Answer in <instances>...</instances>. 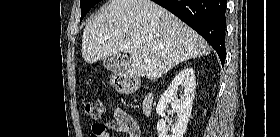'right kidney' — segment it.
I'll use <instances>...</instances> for the list:
<instances>
[{
  "instance_id": "obj_1",
  "label": "right kidney",
  "mask_w": 280,
  "mask_h": 137,
  "mask_svg": "<svg viewBox=\"0 0 280 137\" xmlns=\"http://www.w3.org/2000/svg\"><path fill=\"white\" fill-rule=\"evenodd\" d=\"M195 85V71L193 68H185L175 76L167 90L161 95L156 108V112L162 117L157 123L159 137H183L191 116ZM179 86L184 89L181 99L176 97ZM167 103L172 104L173 111L177 114V121L172 127V135H167L168 129L164 119Z\"/></svg>"
}]
</instances>
